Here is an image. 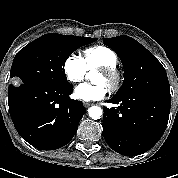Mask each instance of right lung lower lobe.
<instances>
[{
    "label": "right lung lower lobe",
    "instance_id": "obj_1",
    "mask_svg": "<svg viewBox=\"0 0 178 178\" xmlns=\"http://www.w3.org/2000/svg\"><path fill=\"white\" fill-rule=\"evenodd\" d=\"M72 92L69 83L10 85L9 112L21 137L42 150H55L68 144L86 112L82 102L69 98Z\"/></svg>",
    "mask_w": 178,
    "mask_h": 178
}]
</instances>
